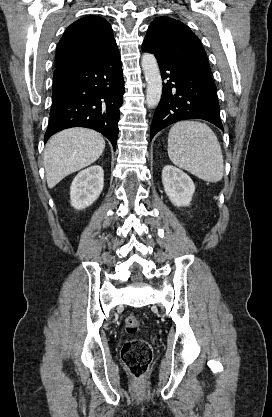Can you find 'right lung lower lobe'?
<instances>
[{"mask_svg":"<svg viewBox=\"0 0 272 417\" xmlns=\"http://www.w3.org/2000/svg\"><path fill=\"white\" fill-rule=\"evenodd\" d=\"M124 91L117 45L94 63L57 68L44 142L63 129L87 127L102 133L116 149Z\"/></svg>","mask_w":272,"mask_h":417,"instance_id":"98d812e1","label":"right lung lower lobe"}]
</instances>
